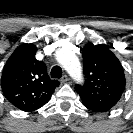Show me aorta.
<instances>
[{
	"mask_svg": "<svg viewBox=\"0 0 133 133\" xmlns=\"http://www.w3.org/2000/svg\"><path fill=\"white\" fill-rule=\"evenodd\" d=\"M57 61L64 67L68 74L78 83L83 81V74L80 62L76 55L67 50L61 49L55 54Z\"/></svg>",
	"mask_w": 133,
	"mask_h": 133,
	"instance_id": "aorta-1",
	"label": "aorta"
}]
</instances>
